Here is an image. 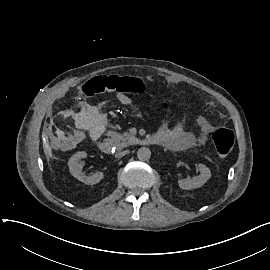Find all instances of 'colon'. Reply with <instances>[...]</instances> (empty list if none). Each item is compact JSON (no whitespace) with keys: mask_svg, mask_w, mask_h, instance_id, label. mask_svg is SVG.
<instances>
[{"mask_svg":"<svg viewBox=\"0 0 270 270\" xmlns=\"http://www.w3.org/2000/svg\"><path fill=\"white\" fill-rule=\"evenodd\" d=\"M106 90H113L119 93L132 94L142 96L146 92V87L141 80L129 76H115L98 78L94 81L87 82L82 92L85 97H93ZM160 108L166 113L172 111L171 106L163 101L160 103ZM212 140L215 150L220 157H226L230 154L235 137L232 130L227 127L219 126L212 132Z\"/></svg>","mask_w":270,"mask_h":270,"instance_id":"1","label":"colon"}]
</instances>
